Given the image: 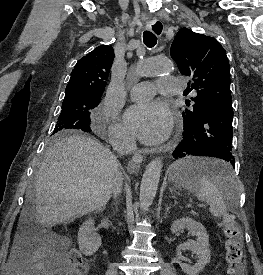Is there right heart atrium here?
Instances as JSON below:
<instances>
[{"instance_id": "obj_1", "label": "right heart atrium", "mask_w": 263, "mask_h": 275, "mask_svg": "<svg viewBox=\"0 0 263 275\" xmlns=\"http://www.w3.org/2000/svg\"><path fill=\"white\" fill-rule=\"evenodd\" d=\"M113 115L112 108L108 102H105L102 106L100 117L98 118V124L102 128H108L109 134L114 141L122 144H129L131 142L130 134L122 125L112 122Z\"/></svg>"}]
</instances>
